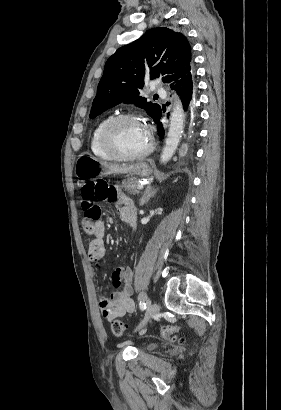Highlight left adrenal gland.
<instances>
[{
  "label": "left adrenal gland",
  "instance_id": "a2214340",
  "mask_svg": "<svg viewBox=\"0 0 281 410\" xmlns=\"http://www.w3.org/2000/svg\"><path fill=\"white\" fill-rule=\"evenodd\" d=\"M158 191V188H153L151 185H148L142 195V198L140 200V206H143L146 204L151 197H153Z\"/></svg>",
  "mask_w": 281,
  "mask_h": 410
}]
</instances>
